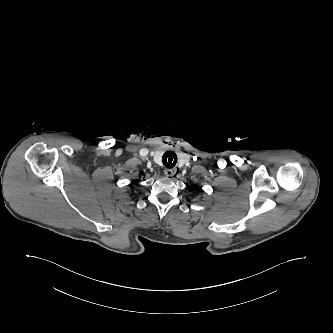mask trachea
Instances as JSON below:
<instances>
[{
	"label": "trachea",
	"instance_id": "obj_1",
	"mask_svg": "<svg viewBox=\"0 0 333 333\" xmlns=\"http://www.w3.org/2000/svg\"><path fill=\"white\" fill-rule=\"evenodd\" d=\"M162 161L165 167L173 168L177 163V155L173 151H167L164 153Z\"/></svg>",
	"mask_w": 333,
	"mask_h": 333
}]
</instances>
